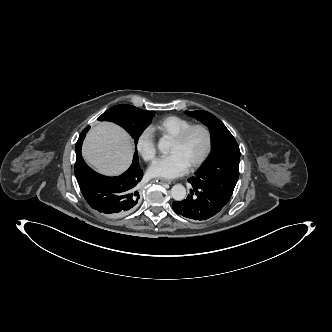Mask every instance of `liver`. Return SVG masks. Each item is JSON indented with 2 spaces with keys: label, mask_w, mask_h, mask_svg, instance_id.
<instances>
[{
  "label": "liver",
  "mask_w": 332,
  "mask_h": 332,
  "mask_svg": "<svg viewBox=\"0 0 332 332\" xmlns=\"http://www.w3.org/2000/svg\"><path fill=\"white\" fill-rule=\"evenodd\" d=\"M82 154L98 173L116 176L130 166L133 146L121 127L110 122H100L86 135Z\"/></svg>",
  "instance_id": "1"
}]
</instances>
